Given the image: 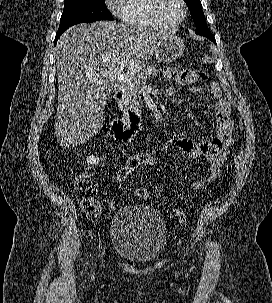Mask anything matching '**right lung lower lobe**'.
I'll return each mask as SVG.
<instances>
[{
    "mask_svg": "<svg viewBox=\"0 0 272 303\" xmlns=\"http://www.w3.org/2000/svg\"><path fill=\"white\" fill-rule=\"evenodd\" d=\"M61 34H62V33H57V34H56V37H55V44H56V42H57V40L59 39V37H60Z\"/></svg>",
    "mask_w": 272,
    "mask_h": 303,
    "instance_id": "obj_1",
    "label": "right lung lower lobe"
}]
</instances>
